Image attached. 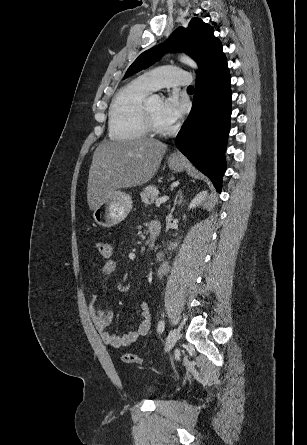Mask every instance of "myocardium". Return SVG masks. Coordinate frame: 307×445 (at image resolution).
Segmentation results:
<instances>
[{
    "instance_id": "obj_1",
    "label": "myocardium",
    "mask_w": 307,
    "mask_h": 445,
    "mask_svg": "<svg viewBox=\"0 0 307 445\" xmlns=\"http://www.w3.org/2000/svg\"><path fill=\"white\" fill-rule=\"evenodd\" d=\"M151 99H152V97L147 98L146 101L144 102V105L142 108V113H143V116H144V119H145V122H146L149 132L154 133V134L173 133L175 131L174 126H171L169 128H162L155 122L154 117L151 112V107H150ZM150 139H159V138L151 137Z\"/></svg>"
}]
</instances>
